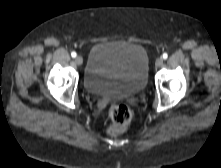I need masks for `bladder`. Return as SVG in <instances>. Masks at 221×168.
I'll return each mask as SVG.
<instances>
[{
    "label": "bladder",
    "mask_w": 221,
    "mask_h": 168,
    "mask_svg": "<svg viewBox=\"0 0 221 168\" xmlns=\"http://www.w3.org/2000/svg\"><path fill=\"white\" fill-rule=\"evenodd\" d=\"M148 75L149 58L142 45L123 41L98 43L88 56L84 86L95 95L125 98L144 90Z\"/></svg>",
    "instance_id": "obj_1"
}]
</instances>
